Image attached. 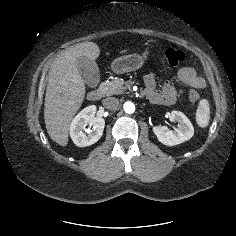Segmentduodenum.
I'll use <instances>...</instances> for the list:
<instances>
[{"label": "duodenum", "instance_id": "duodenum-1", "mask_svg": "<svg viewBox=\"0 0 236 236\" xmlns=\"http://www.w3.org/2000/svg\"><path fill=\"white\" fill-rule=\"evenodd\" d=\"M104 91V88L102 86H99L98 88L91 90L88 93L87 98L91 102H96L103 96Z\"/></svg>", "mask_w": 236, "mask_h": 236}]
</instances>
